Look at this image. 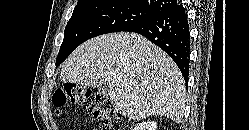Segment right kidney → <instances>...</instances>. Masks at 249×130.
<instances>
[{"instance_id": "right-kidney-1", "label": "right kidney", "mask_w": 249, "mask_h": 130, "mask_svg": "<svg viewBox=\"0 0 249 130\" xmlns=\"http://www.w3.org/2000/svg\"><path fill=\"white\" fill-rule=\"evenodd\" d=\"M157 123L154 121L141 122L133 130H156Z\"/></svg>"}]
</instances>
